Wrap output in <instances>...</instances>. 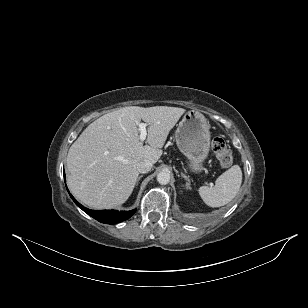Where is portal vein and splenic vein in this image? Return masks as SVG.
I'll list each match as a JSON object with an SVG mask.
<instances>
[{
  "label": "portal vein and splenic vein",
  "mask_w": 308,
  "mask_h": 308,
  "mask_svg": "<svg viewBox=\"0 0 308 308\" xmlns=\"http://www.w3.org/2000/svg\"><path fill=\"white\" fill-rule=\"evenodd\" d=\"M138 126H139L138 130L140 131L139 139H140L141 142H143L148 135L147 130H146L147 124L146 123H139Z\"/></svg>",
  "instance_id": "18ae733b"
}]
</instances>
